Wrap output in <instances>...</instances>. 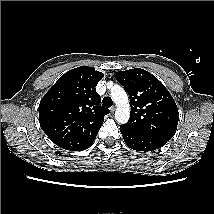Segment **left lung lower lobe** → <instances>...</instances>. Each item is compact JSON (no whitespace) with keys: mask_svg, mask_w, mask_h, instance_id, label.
<instances>
[{"mask_svg":"<svg viewBox=\"0 0 214 214\" xmlns=\"http://www.w3.org/2000/svg\"><path fill=\"white\" fill-rule=\"evenodd\" d=\"M120 131L126 145L136 151H153L163 147L167 141L132 132L120 126Z\"/></svg>","mask_w":214,"mask_h":214,"instance_id":"left-lung-lower-lobe-1","label":"left lung lower lobe"}]
</instances>
